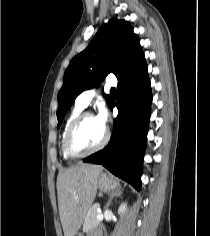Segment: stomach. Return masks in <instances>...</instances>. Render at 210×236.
Instances as JSON below:
<instances>
[{
    "label": "stomach",
    "instance_id": "obj_1",
    "mask_svg": "<svg viewBox=\"0 0 210 236\" xmlns=\"http://www.w3.org/2000/svg\"><path fill=\"white\" fill-rule=\"evenodd\" d=\"M98 187L101 191L108 192L118 188L119 183L112 175L107 173H101L98 178Z\"/></svg>",
    "mask_w": 210,
    "mask_h": 236
}]
</instances>
